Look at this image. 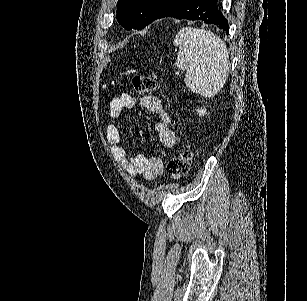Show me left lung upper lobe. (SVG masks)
Returning a JSON list of instances; mask_svg holds the SVG:
<instances>
[{
	"instance_id": "left-lung-upper-lobe-1",
	"label": "left lung upper lobe",
	"mask_w": 307,
	"mask_h": 301,
	"mask_svg": "<svg viewBox=\"0 0 307 301\" xmlns=\"http://www.w3.org/2000/svg\"><path fill=\"white\" fill-rule=\"evenodd\" d=\"M177 0H119L118 22L127 30H141Z\"/></svg>"
}]
</instances>
